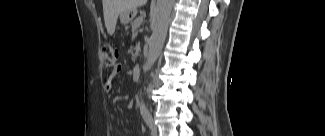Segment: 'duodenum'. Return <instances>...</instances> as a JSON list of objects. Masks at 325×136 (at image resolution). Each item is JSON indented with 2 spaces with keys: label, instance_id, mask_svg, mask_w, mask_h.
I'll return each mask as SVG.
<instances>
[{
  "label": "duodenum",
  "instance_id": "obj_1",
  "mask_svg": "<svg viewBox=\"0 0 325 136\" xmlns=\"http://www.w3.org/2000/svg\"><path fill=\"white\" fill-rule=\"evenodd\" d=\"M141 72V66L140 65H135L132 69V75L134 78H138Z\"/></svg>",
  "mask_w": 325,
  "mask_h": 136
}]
</instances>
